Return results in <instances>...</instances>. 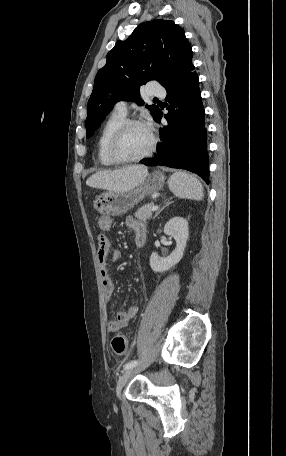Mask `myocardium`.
<instances>
[{
    "label": "myocardium",
    "mask_w": 286,
    "mask_h": 456,
    "mask_svg": "<svg viewBox=\"0 0 286 456\" xmlns=\"http://www.w3.org/2000/svg\"><path fill=\"white\" fill-rule=\"evenodd\" d=\"M134 125L145 126L149 131L151 141H150L149 148L147 149V151L144 154H142L141 156L135 157V158H126L119 154V152L117 150V146H118V142H119L121 136L123 135V133L129 127L134 126ZM156 145H157L156 135L148 123H146L145 121L140 120V119L128 118V119H125L124 121H122L120 123V125L115 129L113 134L111 135L109 142H108V153H109L110 157L117 163H121V164L134 163V162H140V161L148 158L154 152Z\"/></svg>",
    "instance_id": "1"
}]
</instances>
